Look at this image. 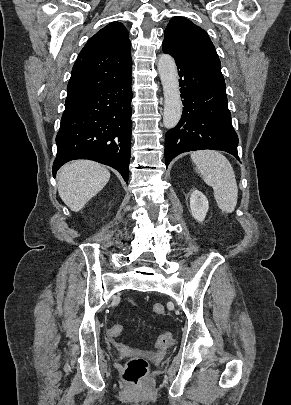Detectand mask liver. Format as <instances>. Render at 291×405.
Returning <instances> with one entry per match:
<instances>
[{
	"label": "liver",
	"mask_w": 291,
	"mask_h": 405,
	"mask_svg": "<svg viewBox=\"0 0 291 405\" xmlns=\"http://www.w3.org/2000/svg\"><path fill=\"white\" fill-rule=\"evenodd\" d=\"M57 179L61 199L72 211L78 212L105 187L110 172L97 162L76 160L65 164Z\"/></svg>",
	"instance_id": "liver-1"
}]
</instances>
